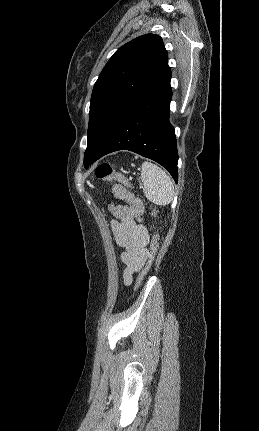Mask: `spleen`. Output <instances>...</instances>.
Wrapping results in <instances>:
<instances>
[{
	"label": "spleen",
	"mask_w": 259,
	"mask_h": 431,
	"mask_svg": "<svg viewBox=\"0 0 259 431\" xmlns=\"http://www.w3.org/2000/svg\"><path fill=\"white\" fill-rule=\"evenodd\" d=\"M141 179L146 198L156 205L169 204L174 196L171 178L166 172L149 161L142 163Z\"/></svg>",
	"instance_id": "1"
}]
</instances>
